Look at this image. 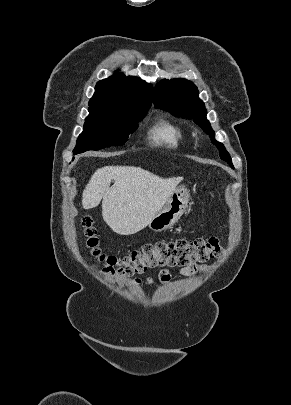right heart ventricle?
Returning a JSON list of instances; mask_svg holds the SVG:
<instances>
[{"label": "right heart ventricle", "instance_id": "e07e8e85", "mask_svg": "<svg viewBox=\"0 0 291 405\" xmlns=\"http://www.w3.org/2000/svg\"><path fill=\"white\" fill-rule=\"evenodd\" d=\"M150 137L157 145L178 148L184 141V132L171 121L161 119L150 130Z\"/></svg>", "mask_w": 291, "mask_h": 405}]
</instances>
